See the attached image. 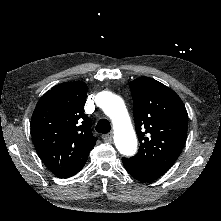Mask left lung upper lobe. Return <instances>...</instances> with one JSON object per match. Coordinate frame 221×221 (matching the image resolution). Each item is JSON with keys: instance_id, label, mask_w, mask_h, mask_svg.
<instances>
[{"instance_id": "left-lung-upper-lobe-1", "label": "left lung upper lobe", "mask_w": 221, "mask_h": 221, "mask_svg": "<svg viewBox=\"0 0 221 221\" xmlns=\"http://www.w3.org/2000/svg\"><path fill=\"white\" fill-rule=\"evenodd\" d=\"M139 152L126 158L158 178L181 153L187 137L188 114L180 97L164 84L139 77L130 82Z\"/></svg>"}]
</instances>
